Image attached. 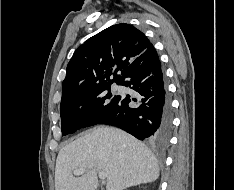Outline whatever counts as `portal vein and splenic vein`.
<instances>
[{"instance_id": "portal-vein-and-splenic-vein-1", "label": "portal vein and splenic vein", "mask_w": 234, "mask_h": 190, "mask_svg": "<svg viewBox=\"0 0 234 190\" xmlns=\"http://www.w3.org/2000/svg\"><path fill=\"white\" fill-rule=\"evenodd\" d=\"M84 172H85V169H78V170H75L73 173L74 175H82ZM98 175H99V178L102 180H105L107 177L106 173L101 170H98Z\"/></svg>"}]
</instances>
